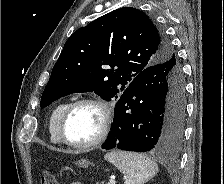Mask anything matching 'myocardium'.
Segmentation results:
<instances>
[{"label":"myocardium","mask_w":224,"mask_h":184,"mask_svg":"<svg viewBox=\"0 0 224 184\" xmlns=\"http://www.w3.org/2000/svg\"><path fill=\"white\" fill-rule=\"evenodd\" d=\"M84 104L96 106L102 114V122L100 125L99 132L93 140L86 143H82V144L73 143L67 138L66 131H65L66 122L70 114L72 113V111L77 106L84 105ZM112 122H113V111L106 101H104L103 99H100L97 97H91V96L81 97L70 102L65 108L58 125L59 136L61 141L71 148L78 149V150L90 149L101 144L107 138L111 130Z\"/></svg>","instance_id":"obj_1"}]
</instances>
